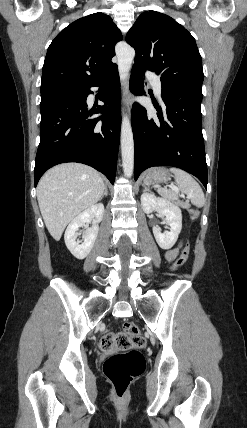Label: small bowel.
Segmentation results:
<instances>
[{"label": "small bowel", "mask_w": 247, "mask_h": 428, "mask_svg": "<svg viewBox=\"0 0 247 428\" xmlns=\"http://www.w3.org/2000/svg\"><path fill=\"white\" fill-rule=\"evenodd\" d=\"M178 251H179V247H175V248L168 250L165 254L166 260L168 262L173 261L176 258Z\"/></svg>", "instance_id": "c3829d8e"}]
</instances>
